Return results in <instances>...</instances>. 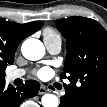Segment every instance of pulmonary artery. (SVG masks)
<instances>
[{"mask_svg":"<svg viewBox=\"0 0 107 107\" xmlns=\"http://www.w3.org/2000/svg\"><path fill=\"white\" fill-rule=\"evenodd\" d=\"M45 45L47 50L51 53V54H57L60 52L61 50V44L62 41L60 38H56V39H51V40H44ZM25 75V70L23 69H16L11 71L8 76L7 79L9 81H13L15 79L21 78Z\"/></svg>","mask_w":107,"mask_h":107,"instance_id":"e3ab8cb5","label":"pulmonary artery"}]
</instances>
